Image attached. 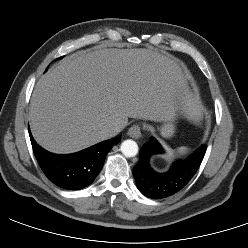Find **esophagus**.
<instances>
[{
    "label": "esophagus",
    "instance_id": "34e87169",
    "mask_svg": "<svg viewBox=\"0 0 248 248\" xmlns=\"http://www.w3.org/2000/svg\"><path fill=\"white\" fill-rule=\"evenodd\" d=\"M141 127L137 124L131 126L128 130V135L134 139H138L141 137Z\"/></svg>",
    "mask_w": 248,
    "mask_h": 248
}]
</instances>
